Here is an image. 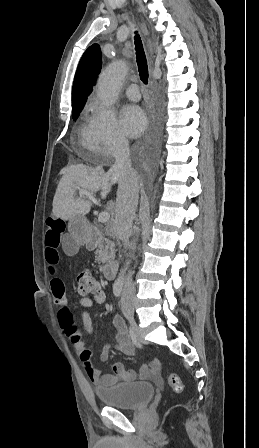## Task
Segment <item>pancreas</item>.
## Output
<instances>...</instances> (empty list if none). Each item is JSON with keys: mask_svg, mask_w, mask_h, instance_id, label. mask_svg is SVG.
Here are the masks:
<instances>
[{"mask_svg": "<svg viewBox=\"0 0 259 448\" xmlns=\"http://www.w3.org/2000/svg\"><path fill=\"white\" fill-rule=\"evenodd\" d=\"M114 248V242H110L108 238H104V242H102V244H99L98 250H96L95 252L98 264H102V262H111V260H114Z\"/></svg>", "mask_w": 259, "mask_h": 448, "instance_id": "pancreas-1", "label": "pancreas"}]
</instances>
